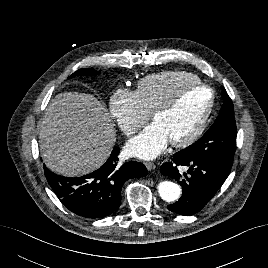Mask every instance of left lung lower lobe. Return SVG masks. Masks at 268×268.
<instances>
[{"label": "left lung lower lobe", "instance_id": "1", "mask_svg": "<svg viewBox=\"0 0 268 268\" xmlns=\"http://www.w3.org/2000/svg\"><path fill=\"white\" fill-rule=\"evenodd\" d=\"M178 166L188 167L184 177L179 173ZM230 170L231 167L216 160L174 154L171 162L162 164L160 172L179 182L183 193L177 202L167 208L184 216L196 214L219 190Z\"/></svg>", "mask_w": 268, "mask_h": 268}]
</instances>
